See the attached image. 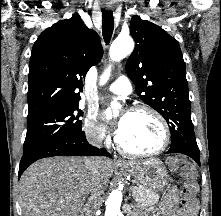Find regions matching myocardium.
Returning a JSON list of instances; mask_svg holds the SVG:
<instances>
[{
  "mask_svg": "<svg viewBox=\"0 0 221 216\" xmlns=\"http://www.w3.org/2000/svg\"><path fill=\"white\" fill-rule=\"evenodd\" d=\"M130 112L131 113L146 112V113L151 114L153 117H155L156 120L160 123L162 131H163L162 142L160 146L156 148L155 150L148 151V152H139V151H134V150L127 148L121 143L119 138H117L116 139L117 148L120 151H122L124 154L132 156V157H151V156H155V155L162 153L168 147L170 143V139H171L170 127L166 119L164 118V116L158 110H156L155 108L149 105H136L131 108Z\"/></svg>",
  "mask_w": 221,
  "mask_h": 216,
  "instance_id": "f54148a6",
  "label": "myocardium"
}]
</instances>
